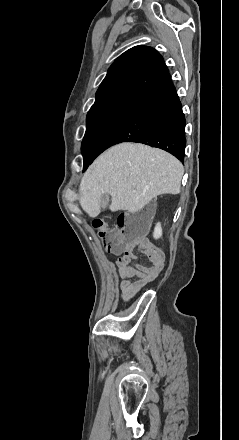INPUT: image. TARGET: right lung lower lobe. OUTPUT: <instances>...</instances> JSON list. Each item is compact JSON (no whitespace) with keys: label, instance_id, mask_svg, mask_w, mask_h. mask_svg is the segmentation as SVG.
I'll list each match as a JSON object with an SVG mask.
<instances>
[{"label":"right lung lower lobe","instance_id":"98d812e1","mask_svg":"<svg viewBox=\"0 0 239 440\" xmlns=\"http://www.w3.org/2000/svg\"><path fill=\"white\" fill-rule=\"evenodd\" d=\"M185 124L181 102L168 74L152 89L130 100L93 152L83 155L84 171L105 149L124 141L163 149L183 161Z\"/></svg>","mask_w":239,"mask_h":440}]
</instances>
